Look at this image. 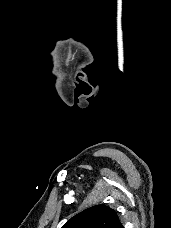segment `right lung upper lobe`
Returning a JSON list of instances; mask_svg holds the SVG:
<instances>
[{"label": "right lung upper lobe", "instance_id": "cb5924a9", "mask_svg": "<svg viewBox=\"0 0 171 228\" xmlns=\"http://www.w3.org/2000/svg\"><path fill=\"white\" fill-rule=\"evenodd\" d=\"M62 228H124L117 213L104 204L90 207L67 221Z\"/></svg>", "mask_w": 171, "mask_h": 228}]
</instances>
